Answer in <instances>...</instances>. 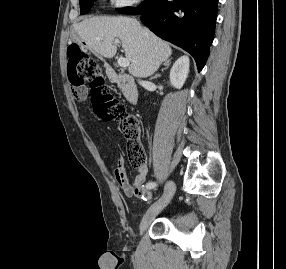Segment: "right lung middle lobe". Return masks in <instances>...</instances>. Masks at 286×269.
Listing matches in <instances>:
<instances>
[{"mask_svg": "<svg viewBox=\"0 0 286 269\" xmlns=\"http://www.w3.org/2000/svg\"><path fill=\"white\" fill-rule=\"evenodd\" d=\"M94 1L95 0H80V7H81L80 13L81 14L88 13ZM157 1L158 0H144L142 5H140V7L137 9L128 7V8L117 9V11L126 14H138L144 10L153 8L156 5Z\"/></svg>", "mask_w": 286, "mask_h": 269, "instance_id": "obj_1", "label": "right lung middle lobe"}]
</instances>
